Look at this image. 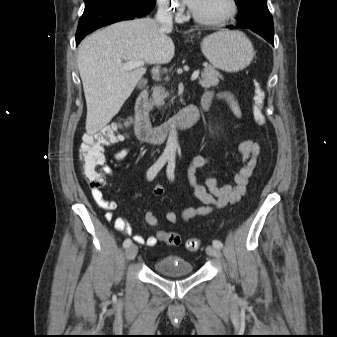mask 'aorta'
Here are the masks:
<instances>
[{
	"instance_id": "762f6f07",
	"label": "aorta",
	"mask_w": 337,
	"mask_h": 337,
	"mask_svg": "<svg viewBox=\"0 0 337 337\" xmlns=\"http://www.w3.org/2000/svg\"><path fill=\"white\" fill-rule=\"evenodd\" d=\"M177 146H178L177 131L175 129H172L169 133V136L166 142V147L164 149V155L168 157H175Z\"/></svg>"
}]
</instances>
